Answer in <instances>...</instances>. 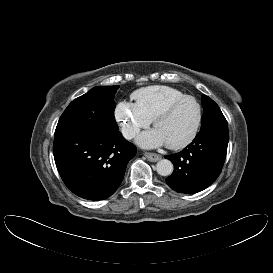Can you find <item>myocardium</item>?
<instances>
[{
  "mask_svg": "<svg viewBox=\"0 0 273 273\" xmlns=\"http://www.w3.org/2000/svg\"><path fill=\"white\" fill-rule=\"evenodd\" d=\"M186 100H191L195 103L196 107H197V119H196V123L195 126L192 130V132L189 134V136L184 139L183 141H181L180 143L177 144H167V147L173 150H179V149H183L186 146H188L197 136L200 126H201V122H202V107L201 104L199 103V101L190 95H184L178 99H175L173 101H171L170 103H168L160 112L157 113V115L154 117L153 119V126L155 127L156 124L168 117L170 115V113L173 111V109L179 105L180 103L186 101Z\"/></svg>",
  "mask_w": 273,
  "mask_h": 273,
  "instance_id": "1",
  "label": "myocardium"
}]
</instances>
